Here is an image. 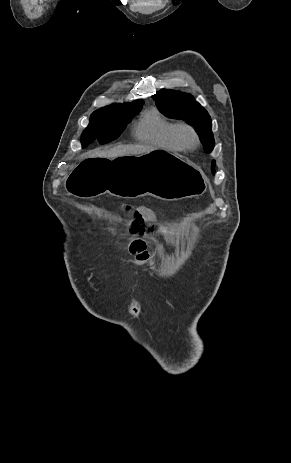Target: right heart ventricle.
<instances>
[{
  "label": "right heart ventricle",
  "instance_id": "1",
  "mask_svg": "<svg viewBox=\"0 0 291 463\" xmlns=\"http://www.w3.org/2000/svg\"><path fill=\"white\" fill-rule=\"evenodd\" d=\"M175 123L163 116L158 110L146 111L135 126L134 134L138 141L167 148L180 150L176 143L173 130Z\"/></svg>",
  "mask_w": 291,
  "mask_h": 463
}]
</instances>
